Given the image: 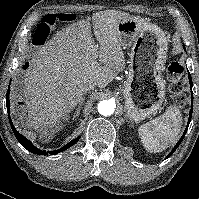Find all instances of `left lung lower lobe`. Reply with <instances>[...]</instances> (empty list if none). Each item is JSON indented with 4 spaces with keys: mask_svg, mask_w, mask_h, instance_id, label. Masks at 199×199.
<instances>
[{
    "mask_svg": "<svg viewBox=\"0 0 199 199\" xmlns=\"http://www.w3.org/2000/svg\"><path fill=\"white\" fill-rule=\"evenodd\" d=\"M189 83H190V89H191V109H190V114H189V119H188V124H187V127H186V130L184 131L182 137L180 138V140L178 141V143L175 145L174 149L168 154V157H170L174 152L175 150L178 148V146L180 145V143L182 142L187 130H188V126L190 124V121H191V117H192V108H193V92H192V78H191V75L189 73Z\"/></svg>",
    "mask_w": 199,
    "mask_h": 199,
    "instance_id": "1",
    "label": "left lung lower lobe"
}]
</instances>
